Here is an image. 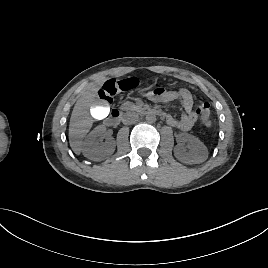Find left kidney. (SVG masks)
<instances>
[{
  "mask_svg": "<svg viewBox=\"0 0 268 268\" xmlns=\"http://www.w3.org/2000/svg\"><path fill=\"white\" fill-rule=\"evenodd\" d=\"M178 144L174 148L175 157L187 164L202 163L207 159V147L195 136L181 133L177 137ZM185 144L188 145L189 151L185 149Z\"/></svg>",
  "mask_w": 268,
  "mask_h": 268,
  "instance_id": "5707ae66",
  "label": "left kidney"
}]
</instances>
